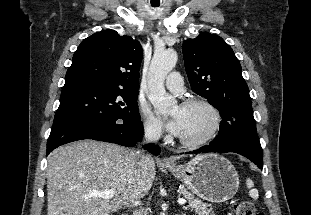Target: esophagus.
Segmentation results:
<instances>
[{"label": "esophagus", "instance_id": "esophagus-1", "mask_svg": "<svg viewBox=\"0 0 311 215\" xmlns=\"http://www.w3.org/2000/svg\"><path fill=\"white\" fill-rule=\"evenodd\" d=\"M163 163H164L165 165H173V164H174V160L171 159V158H169V157H164V158H163Z\"/></svg>", "mask_w": 311, "mask_h": 215}]
</instances>
